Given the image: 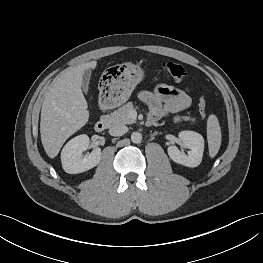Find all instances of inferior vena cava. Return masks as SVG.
<instances>
[{"instance_id": "1", "label": "inferior vena cava", "mask_w": 263, "mask_h": 263, "mask_svg": "<svg viewBox=\"0 0 263 263\" xmlns=\"http://www.w3.org/2000/svg\"><path fill=\"white\" fill-rule=\"evenodd\" d=\"M128 132V127L125 125H114L109 129V134L112 136H122Z\"/></svg>"}]
</instances>
